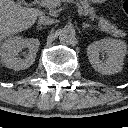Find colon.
I'll return each instance as SVG.
<instances>
[{
    "label": "colon",
    "instance_id": "5ec220e1",
    "mask_svg": "<svg viewBox=\"0 0 128 128\" xmlns=\"http://www.w3.org/2000/svg\"><path fill=\"white\" fill-rule=\"evenodd\" d=\"M123 11L128 16V0H125L123 3Z\"/></svg>",
    "mask_w": 128,
    "mask_h": 128
}]
</instances>
